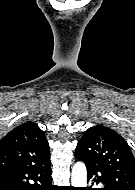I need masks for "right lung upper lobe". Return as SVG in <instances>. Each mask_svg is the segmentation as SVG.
Segmentation results:
<instances>
[{"label":"right lung upper lobe","instance_id":"right-lung-upper-lobe-1","mask_svg":"<svg viewBox=\"0 0 135 190\" xmlns=\"http://www.w3.org/2000/svg\"><path fill=\"white\" fill-rule=\"evenodd\" d=\"M49 144L34 122H26L10 131L0 141V169L49 162Z\"/></svg>","mask_w":135,"mask_h":190}]
</instances>
